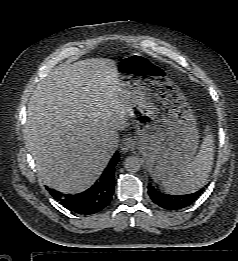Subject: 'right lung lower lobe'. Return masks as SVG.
I'll return each mask as SVG.
<instances>
[{
  "label": "right lung lower lobe",
  "mask_w": 238,
  "mask_h": 261,
  "mask_svg": "<svg viewBox=\"0 0 238 261\" xmlns=\"http://www.w3.org/2000/svg\"><path fill=\"white\" fill-rule=\"evenodd\" d=\"M119 159L116 152L100 179L86 191L75 195H63L51 191L52 196L71 211L90 215L104 209L111 201L114 192V167Z\"/></svg>",
  "instance_id": "right-lung-lower-lobe-1"
}]
</instances>
